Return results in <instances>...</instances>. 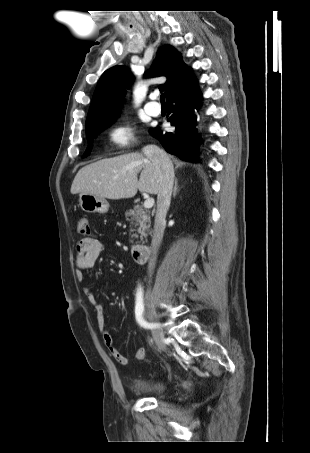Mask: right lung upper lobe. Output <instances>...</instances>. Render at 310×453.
<instances>
[{"mask_svg": "<svg viewBox=\"0 0 310 453\" xmlns=\"http://www.w3.org/2000/svg\"><path fill=\"white\" fill-rule=\"evenodd\" d=\"M151 73L167 78V82L160 86L167 98L173 88L190 73V69L182 62L181 55L172 46L165 45L159 49ZM133 79L125 66H114L103 73L92 98L86 119V129L111 122L116 117L121 97Z\"/></svg>", "mask_w": 310, "mask_h": 453, "instance_id": "1", "label": "right lung upper lobe"}]
</instances>
